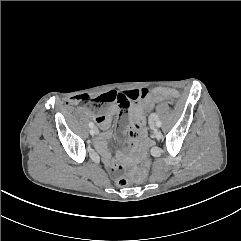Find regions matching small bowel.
<instances>
[{
  "label": "small bowel",
  "instance_id": "small-bowel-1",
  "mask_svg": "<svg viewBox=\"0 0 241 241\" xmlns=\"http://www.w3.org/2000/svg\"><path fill=\"white\" fill-rule=\"evenodd\" d=\"M108 93H113L118 96L126 97L130 103L133 105H128V108L125 112V120L124 122L119 120L118 123V130L124 138L126 139L127 143H131L134 139L142 138L144 136V114L143 108L144 106L153 99L159 98L162 96L168 97H176L177 91L172 88H165L159 87L156 88L155 86H148L142 89L130 90V91H122V92H115L111 91ZM106 94V93H105ZM118 110L121 113V109L118 104L115 107L108 109L107 114L105 115H96L94 117L97 124L103 129L107 130L111 125V116L112 114ZM111 134L108 131L103 132L100 134L95 140V147L101 155V159L103 163L110 168L112 172L117 170V166L112 162L111 154L108 152L106 148V141L110 138Z\"/></svg>",
  "mask_w": 241,
  "mask_h": 241
}]
</instances>
